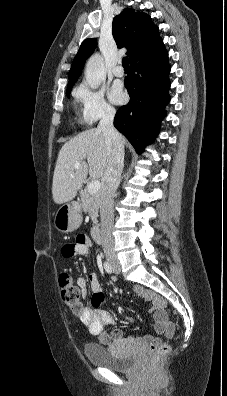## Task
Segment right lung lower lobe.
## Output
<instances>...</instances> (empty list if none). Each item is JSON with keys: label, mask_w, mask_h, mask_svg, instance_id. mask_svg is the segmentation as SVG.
I'll use <instances>...</instances> for the list:
<instances>
[{"label": "right lung lower lobe", "mask_w": 227, "mask_h": 396, "mask_svg": "<svg viewBox=\"0 0 227 396\" xmlns=\"http://www.w3.org/2000/svg\"><path fill=\"white\" fill-rule=\"evenodd\" d=\"M130 64L131 72L125 79L130 101L117 111L114 126L141 153L157 135L170 101L171 67L163 40L142 50Z\"/></svg>", "instance_id": "1"}]
</instances>
